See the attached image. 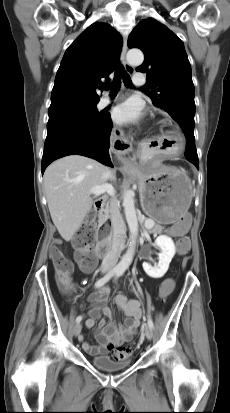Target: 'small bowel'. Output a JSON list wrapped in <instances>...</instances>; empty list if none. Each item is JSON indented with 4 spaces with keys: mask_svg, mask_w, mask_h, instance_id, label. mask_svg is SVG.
Listing matches in <instances>:
<instances>
[{
    "mask_svg": "<svg viewBox=\"0 0 230 413\" xmlns=\"http://www.w3.org/2000/svg\"><path fill=\"white\" fill-rule=\"evenodd\" d=\"M168 233L177 236L181 234V231L172 226ZM82 269L89 272L92 268L85 269L82 267ZM109 294L110 289L101 286L91 293L88 298L90 308L88 318L85 321L87 328H92L95 325L101 312L110 319L108 324H105L104 320L99 321L95 331L97 344L91 345L85 342L82 335L79 336V340L82 342L83 350L93 357L110 354L114 359L124 360L130 355V353L124 351V348L127 347L124 345L132 339L141 323V304L137 300L128 299L125 295H117L114 302L124 312L126 319L123 324H116L112 320L113 311L107 305Z\"/></svg>",
    "mask_w": 230,
    "mask_h": 413,
    "instance_id": "c3829d8e",
    "label": "small bowel"
}]
</instances>
